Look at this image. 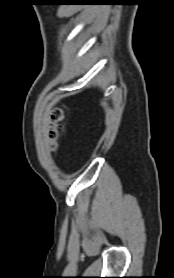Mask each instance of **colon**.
Returning a JSON list of instances; mask_svg holds the SVG:
<instances>
[{"instance_id": "colon-1", "label": "colon", "mask_w": 174, "mask_h": 278, "mask_svg": "<svg viewBox=\"0 0 174 278\" xmlns=\"http://www.w3.org/2000/svg\"><path fill=\"white\" fill-rule=\"evenodd\" d=\"M64 112L60 108L54 109L48 117L47 137L53 149L57 148Z\"/></svg>"}]
</instances>
